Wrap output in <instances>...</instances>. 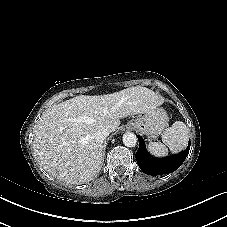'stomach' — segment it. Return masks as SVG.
<instances>
[{
    "mask_svg": "<svg viewBox=\"0 0 227 227\" xmlns=\"http://www.w3.org/2000/svg\"><path fill=\"white\" fill-rule=\"evenodd\" d=\"M168 121L169 118L165 110L156 108L131 120L127 126L147 135L149 139H155L168 127Z\"/></svg>",
    "mask_w": 227,
    "mask_h": 227,
    "instance_id": "stomach-1",
    "label": "stomach"
}]
</instances>
